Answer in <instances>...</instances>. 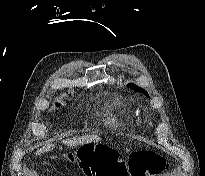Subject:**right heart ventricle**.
Here are the masks:
<instances>
[{
	"instance_id": "1",
	"label": "right heart ventricle",
	"mask_w": 205,
	"mask_h": 176,
	"mask_svg": "<svg viewBox=\"0 0 205 176\" xmlns=\"http://www.w3.org/2000/svg\"><path fill=\"white\" fill-rule=\"evenodd\" d=\"M113 104H114L115 107H121L122 106V103L119 100L114 101ZM113 120H114V118H113Z\"/></svg>"
}]
</instances>
